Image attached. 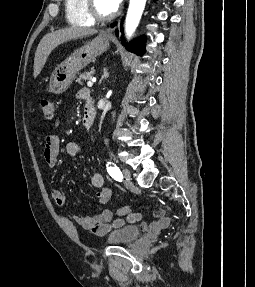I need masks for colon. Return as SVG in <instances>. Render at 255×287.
<instances>
[{"label": "colon", "instance_id": "5ec220e1", "mask_svg": "<svg viewBox=\"0 0 255 287\" xmlns=\"http://www.w3.org/2000/svg\"><path fill=\"white\" fill-rule=\"evenodd\" d=\"M39 109L45 119H52L55 112V105L53 102L47 99H43L39 103ZM132 206H123L117 210L119 216H127L132 213Z\"/></svg>", "mask_w": 255, "mask_h": 287}]
</instances>
